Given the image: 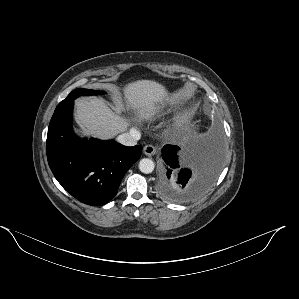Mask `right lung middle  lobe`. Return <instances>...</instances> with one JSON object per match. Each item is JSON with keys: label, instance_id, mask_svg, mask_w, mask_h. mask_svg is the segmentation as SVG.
Instances as JSON below:
<instances>
[{"label": "right lung middle lobe", "instance_id": "dd1d6c3e", "mask_svg": "<svg viewBox=\"0 0 299 299\" xmlns=\"http://www.w3.org/2000/svg\"><path fill=\"white\" fill-rule=\"evenodd\" d=\"M102 95L104 94V92L102 91H95V90H91V89H76L74 91H72L63 101H61L58 106L56 108H59L61 106H64L68 103H70L71 101H74L75 98L79 97V96H85V95Z\"/></svg>", "mask_w": 299, "mask_h": 299}]
</instances>
